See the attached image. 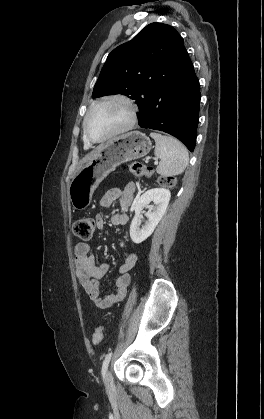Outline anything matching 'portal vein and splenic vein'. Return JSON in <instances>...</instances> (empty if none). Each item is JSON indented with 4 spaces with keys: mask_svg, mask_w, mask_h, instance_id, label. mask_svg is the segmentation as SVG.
Segmentation results:
<instances>
[{
    "mask_svg": "<svg viewBox=\"0 0 264 419\" xmlns=\"http://www.w3.org/2000/svg\"><path fill=\"white\" fill-rule=\"evenodd\" d=\"M155 164H158V160H155Z\"/></svg>",
    "mask_w": 264,
    "mask_h": 419,
    "instance_id": "1",
    "label": "portal vein and splenic vein"
}]
</instances>
